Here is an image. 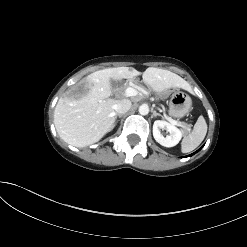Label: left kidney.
Masks as SVG:
<instances>
[{
    "instance_id": "left-kidney-1",
    "label": "left kidney",
    "mask_w": 247,
    "mask_h": 247,
    "mask_svg": "<svg viewBox=\"0 0 247 247\" xmlns=\"http://www.w3.org/2000/svg\"><path fill=\"white\" fill-rule=\"evenodd\" d=\"M160 129L167 130L170 135L164 137L161 134ZM153 136L154 139L162 146L173 147L181 140L182 132L177 127L166 121L156 120L153 124Z\"/></svg>"
}]
</instances>
